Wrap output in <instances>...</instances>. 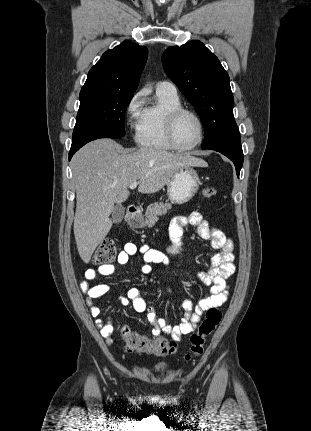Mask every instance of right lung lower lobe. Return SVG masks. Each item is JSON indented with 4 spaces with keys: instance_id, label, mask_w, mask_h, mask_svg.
I'll return each instance as SVG.
<instances>
[{
    "instance_id": "98d812e1",
    "label": "right lung lower lobe",
    "mask_w": 311,
    "mask_h": 431,
    "mask_svg": "<svg viewBox=\"0 0 311 431\" xmlns=\"http://www.w3.org/2000/svg\"><path fill=\"white\" fill-rule=\"evenodd\" d=\"M99 138H118V139H120L121 137L118 135L112 134V133H108V132L94 131V132H89V133L83 134L81 136H78L76 138H73L71 149L69 152V160L75 154V152L77 150H79L83 145H85L86 143H88L92 140L99 139Z\"/></svg>"
}]
</instances>
